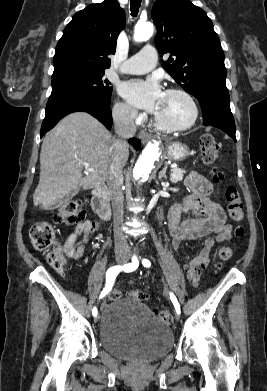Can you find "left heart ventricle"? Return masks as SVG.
I'll return each instance as SVG.
<instances>
[{"label":"left heart ventricle","mask_w":267,"mask_h":391,"mask_svg":"<svg viewBox=\"0 0 267 391\" xmlns=\"http://www.w3.org/2000/svg\"><path fill=\"white\" fill-rule=\"evenodd\" d=\"M192 115L187 100L179 94L164 93L156 116L162 121L172 125L187 123Z\"/></svg>","instance_id":"left-heart-ventricle-1"}]
</instances>
